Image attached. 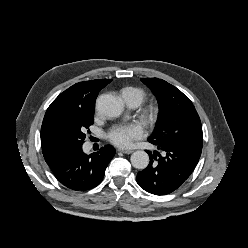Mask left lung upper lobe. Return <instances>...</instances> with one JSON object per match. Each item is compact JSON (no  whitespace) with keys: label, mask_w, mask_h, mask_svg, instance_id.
<instances>
[{"label":"left lung upper lobe","mask_w":248,"mask_h":248,"mask_svg":"<svg viewBox=\"0 0 248 248\" xmlns=\"http://www.w3.org/2000/svg\"><path fill=\"white\" fill-rule=\"evenodd\" d=\"M158 100L159 113L148 141L155 145L176 144L202 149L203 133L192 102L175 86L159 78H142Z\"/></svg>","instance_id":"5c2ea615"}]
</instances>
